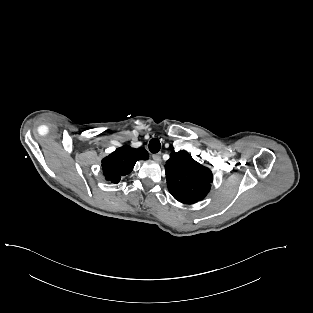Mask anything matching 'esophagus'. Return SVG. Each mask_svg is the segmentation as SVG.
<instances>
[{
  "label": "esophagus",
  "instance_id": "esophagus-1",
  "mask_svg": "<svg viewBox=\"0 0 313 313\" xmlns=\"http://www.w3.org/2000/svg\"><path fill=\"white\" fill-rule=\"evenodd\" d=\"M152 158H153V160L156 161V162H160V161H161V155H160L159 153L153 154V155H152Z\"/></svg>",
  "mask_w": 313,
  "mask_h": 313
}]
</instances>
